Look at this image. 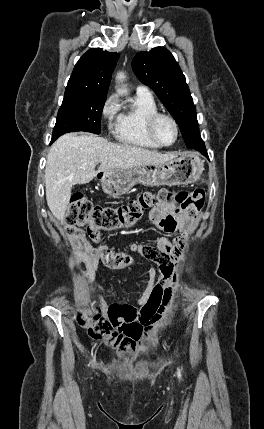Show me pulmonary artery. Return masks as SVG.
Returning <instances> with one entry per match:
<instances>
[{"instance_id": "obj_1", "label": "pulmonary artery", "mask_w": 264, "mask_h": 429, "mask_svg": "<svg viewBox=\"0 0 264 429\" xmlns=\"http://www.w3.org/2000/svg\"><path fill=\"white\" fill-rule=\"evenodd\" d=\"M136 92L138 94H147V95H151V91L148 87L144 86V85H138L136 88Z\"/></svg>"}]
</instances>
